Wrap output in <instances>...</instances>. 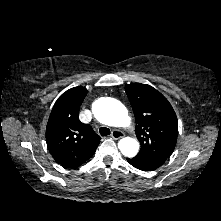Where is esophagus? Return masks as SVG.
I'll return each instance as SVG.
<instances>
[{
	"mask_svg": "<svg viewBox=\"0 0 221 221\" xmlns=\"http://www.w3.org/2000/svg\"><path fill=\"white\" fill-rule=\"evenodd\" d=\"M122 137H124V133L122 131L113 130L111 133V138L114 140L121 139Z\"/></svg>",
	"mask_w": 221,
	"mask_h": 221,
	"instance_id": "1",
	"label": "esophagus"
}]
</instances>
